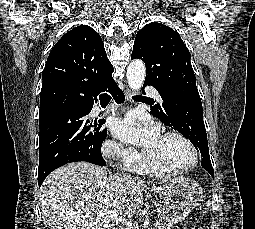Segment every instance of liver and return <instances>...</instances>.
Masks as SVG:
<instances>
[{"mask_svg": "<svg viewBox=\"0 0 255 229\" xmlns=\"http://www.w3.org/2000/svg\"><path fill=\"white\" fill-rule=\"evenodd\" d=\"M145 184L131 176L112 175L88 162L66 164L47 176L39 190L42 216L50 229H110L111 210L131 216L143 203Z\"/></svg>", "mask_w": 255, "mask_h": 229, "instance_id": "liver-1", "label": "liver"}]
</instances>
